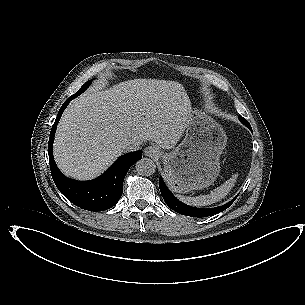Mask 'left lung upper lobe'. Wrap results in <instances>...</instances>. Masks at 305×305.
<instances>
[{
    "instance_id": "left-lung-upper-lobe-1",
    "label": "left lung upper lobe",
    "mask_w": 305,
    "mask_h": 305,
    "mask_svg": "<svg viewBox=\"0 0 305 305\" xmlns=\"http://www.w3.org/2000/svg\"><path fill=\"white\" fill-rule=\"evenodd\" d=\"M239 119L245 126H247L251 130V126L246 119H244L241 115L239 116ZM177 207H178V210L176 212L186 215V216H190V217H207L208 216L206 209L190 207L183 203H178Z\"/></svg>"
}]
</instances>
